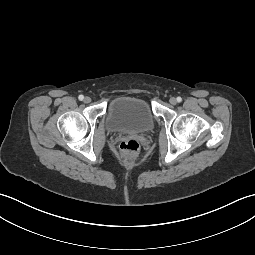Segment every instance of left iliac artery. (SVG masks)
Returning <instances> with one entry per match:
<instances>
[{
	"instance_id": "left-iliac-artery-1",
	"label": "left iliac artery",
	"mask_w": 255,
	"mask_h": 255,
	"mask_svg": "<svg viewBox=\"0 0 255 255\" xmlns=\"http://www.w3.org/2000/svg\"><path fill=\"white\" fill-rule=\"evenodd\" d=\"M177 102H181L182 101V98L181 97H177Z\"/></svg>"
}]
</instances>
